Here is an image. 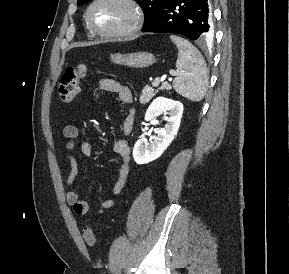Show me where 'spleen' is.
Returning a JSON list of instances; mask_svg holds the SVG:
<instances>
[{
  "label": "spleen",
  "instance_id": "spleen-1",
  "mask_svg": "<svg viewBox=\"0 0 289 274\" xmlns=\"http://www.w3.org/2000/svg\"><path fill=\"white\" fill-rule=\"evenodd\" d=\"M178 48L176 68L180 71L173 81L175 91L192 101H200L206 94L208 70L202 54L188 40L171 35Z\"/></svg>",
  "mask_w": 289,
  "mask_h": 274
}]
</instances>
